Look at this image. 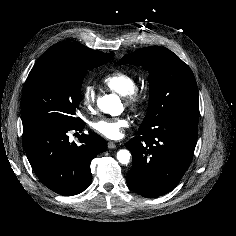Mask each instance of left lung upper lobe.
Masks as SVG:
<instances>
[{
	"label": "left lung upper lobe",
	"mask_w": 236,
	"mask_h": 236,
	"mask_svg": "<svg viewBox=\"0 0 236 236\" xmlns=\"http://www.w3.org/2000/svg\"><path fill=\"white\" fill-rule=\"evenodd\" d=\"M142 65L149 75L148 112L139 129L171 117L199 119L198 88L190 67L164 47H146L127 54L121 64Z\"/></svg>",
	"instance_id": "obj_1"
}]
</instances>
